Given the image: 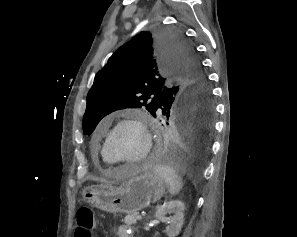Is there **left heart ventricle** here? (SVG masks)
<instances>
[{
    "instance_id": "left-heart-ventricle-1",
    "label": "left heart ventricle",
    "mask_w": 297,
    "mask_h": 237,
    "mask_svg": "<svg viewBox=\"0 0 297 237\" xmlns=\"http://www.w3.org/2000/svg\"><path fill=\"white\" fill-rule=\"evenodd\" d=\"M144 139L140 130L133 125L120 127L109 142V151L120 159L138 157L143 150Z\"/></svg>"
}]
</instances>
